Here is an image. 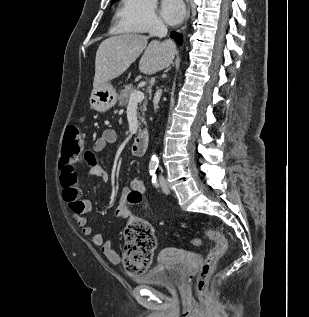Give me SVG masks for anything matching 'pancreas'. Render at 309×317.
I'll return each instance as SVG.
<instances>
[{"label":"pancreas","instance_id":"cf45deb5","mask_svg":"<svg viewBox=\"0 0 309 317\" xmlns=\"http://www.w3.org/2000/svg\"><path fill=\"white\" fill-rule=\"evenodd\" d=\"M135 88L132 84L124 85V89L120 91V95L118 97L119 106H126L129 103L130 95L133 93ZM147 102H143L142 105L139 106V110L142 112V116L139 115V119L141 122H144V112L146 111Z\"/></svg>","mask_w":309,"mask_h":317}]
</instances>
